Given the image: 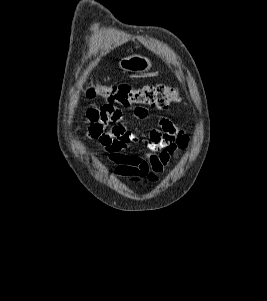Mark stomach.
Segmentation results:
<instances>
[{
	"mask_svg": "<svg viewBox=\"0 0 267 301\" xmlns=\"http://www.w3.org/2000/svg\"><path fill=\"white\" fill-rule=\"evenodd\" d=\"M119 67L127 72L144 73L152 67L151 61L141 55H132L119 62Z\"/></svg>",
	"mask_w": 267,
	"mask_h": 301,
	"instance_id": "obj_1",
	"label": "stomach"
}]
</instances>
